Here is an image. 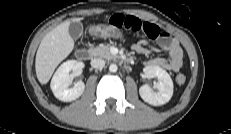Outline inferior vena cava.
Wrapping results in <instances>:
<instances>
[{"instance_id": "inferior-vena-cava-1", "label": "inferior vena cava", "mask_w": 231, "mask_h": 134, "mask_svg": "<svg viewBox=\"0 0 231 134\" xmlns=\"http://www.w3.org/2000/svg\"><path fill=\"white\" fill-rule=\"evenodd\" d=\"M91 66L93 68L102 69L105 66V61L101 58H94L91 60Z\"/></svg>"}]
</instances>
